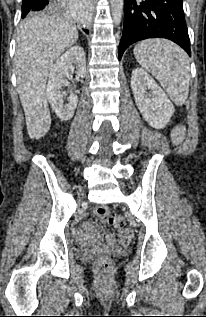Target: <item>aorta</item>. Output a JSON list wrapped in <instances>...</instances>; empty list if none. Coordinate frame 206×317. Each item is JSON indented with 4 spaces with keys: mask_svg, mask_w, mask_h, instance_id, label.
Listing matches in <instances>:
<instances>
[{
    "mask_svg": "<svg viewBox=\"0 0 206 317\" xmlns=\"http://www.w3.org/2000/svg\"><path fill=\"white\" fill-rule=\"evenodd\" d=\"M124 0H111L112 18L116 26L121 23Z\"/></svg>",
    "mask_w": 206,
    "mask_h": 317,
    "instance_id": "762f6f07",
    "label": "aorta"
}]
</instances>
